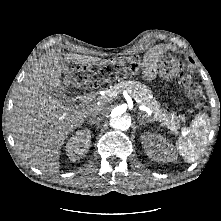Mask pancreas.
Masks as SVG:
<instances>
[{"label":"pancreas","instance_id":"1","mask_svg":"<svg viewBox=\"0 0 221 221\" xmlns=\"http://www.w3.org/2000/svg\"><path fill=\"white\" fill-rule=\"evenodd\" d=\"M122 90H127L133 97L140 100V105L148 107L155 120L162 123L170 131H177L180 127L182 116H178L176 112L167 113L165 109L161 108L160 104L153 98L151 91L147 86L133 80L121 82L110 89L105 90L103 97H114L115 94Z\"/></svg>","mask_w":221,"mask_h":221}]
</instances>
